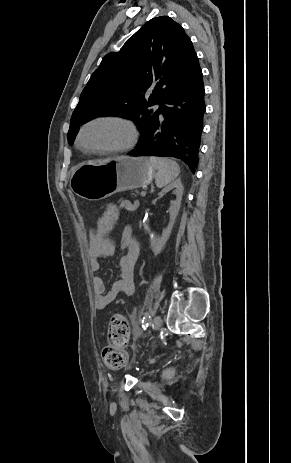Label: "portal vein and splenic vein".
<instances>
[{"label": "portal vein and splenic vein", "mask_w": 291, "mask_h": 463, "mask_svg": "<svg viewBox=\"0 0 291 463\" xmlns=\"http://www.w3.org/2000/svg\"><path fill=\"white\" fill-rule=\"evenodd\" d=\"M145 195H146V192L142 191V192H141V196H142V197H145Z\"/></svg>", "instance_id": "obj_1"}]
</instances>
